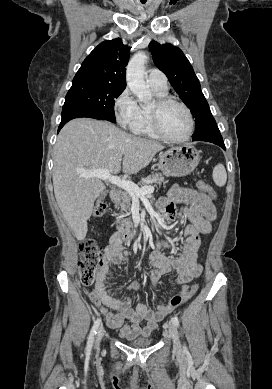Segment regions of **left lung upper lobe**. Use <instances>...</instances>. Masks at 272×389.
I'll list each match as a JSON object with an SVG mask.
<instances>
[{
  "label": "left lung upper lobe",
  "mask_w": 272,
  "mask_h": 389,
  "mask_svg": "<svg viewBox=\"0 0 272 389\" xmlns=\"http://www.w3.org/2000/svg\"><path fill=\"white\" fill-rule=\"evenodd\" d=\"M149 49L155 65L165 73L175 91L195 117L196 129L192 139L216 126V121L201 91L199 80L181 49L171 44L161 45L156 41L150 42Z\"/></svg>",
  "instance_id": "5c2ea615"
}]
</instances>
